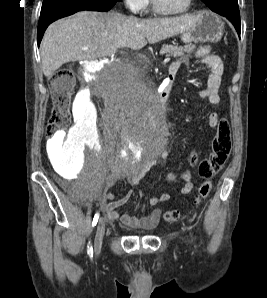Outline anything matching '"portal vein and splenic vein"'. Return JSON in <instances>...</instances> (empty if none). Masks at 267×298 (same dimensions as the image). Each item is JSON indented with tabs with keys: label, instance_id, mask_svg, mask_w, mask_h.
I'll list each match as a JSON object with an SVG mask.
<instances>
[{
	"label": "portal vein and splenic vein",
	"instance_id": "1",
	"mask_svg": "<svg viewBox=\"0 0 267 298\" xmlns=\"http://www.w3.org/2000/svg\"><path fill=\"white\" fill-rule=\"evenodd\" d=\"M169 60H170V58L169 57H166L164 61H169Z\"/></svg>",
	"mask_w": 267,
	"mask_h": 298
}]
</instances>
